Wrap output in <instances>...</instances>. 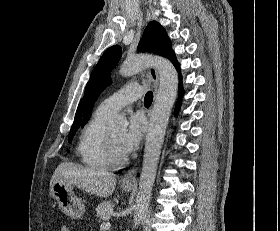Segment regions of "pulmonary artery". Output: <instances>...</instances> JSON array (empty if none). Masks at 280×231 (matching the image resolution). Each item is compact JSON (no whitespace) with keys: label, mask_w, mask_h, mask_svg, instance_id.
Instances as JSON below:
<instances>
[{"label":"pulmonary artery","mask_w":280,"mask_h":231,"mask_svg":"<svg viewBox=\"0 0 280 231\" xmlns=\"http://www.w3.org/2000/svg\"><path fill=\"white\" fill-rule=\"evenodd\" d=\"M143 95V88L138 84L127 85L113 95L102 101L97 110L112 114L119 111L122 107L134 103Z\"/></svg>","instance_id":"1"}]
</instances>
